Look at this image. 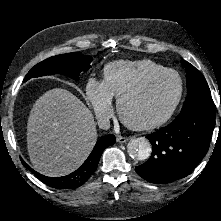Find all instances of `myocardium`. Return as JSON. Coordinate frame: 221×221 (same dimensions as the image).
<instances>
[{"instance_id":"obj_1","label":"myocardium","mask_w":221,"mask_h":221,"mask_svg":"<svg viewBox=\"0 0 221 221\" xmlns=\"http://www.w3.org/2000/svg\"><path fill=\"white\" fill-rule=\"evenodd\" d=\"M167 74L174 75L177 78L178 84H179L177 96H176L175 100L173 101L172 105L170 106V108L163 115H161L160 117H158L154 120L142 122V123H137V122L131 121L125 115V112H124L125 103L130 98L134 97L135 95L139 94L144 89H146L154 80H156L157 78H159L161 76L167 75ZM183 92H184V83H183V79L180 76V74L173 69L165 68L163 70L149 74L144 79H142L140 82H138L137 84H135L134 86H132L131 88L126 90L124 93H122L117 101V112H118V115H119L120 119L122 120V122L132 130L146 131V130L155 129V128H158V127L164 125L173 116V114L175 113L176 109L178 108V106L182 100Z\"/></svg>"}]
</instances>
